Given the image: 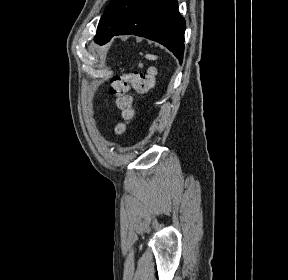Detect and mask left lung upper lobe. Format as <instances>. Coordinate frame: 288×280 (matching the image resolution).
Wrapping results in <instances>:
<instances>
[{
  "label": "left lung upper lobe",
  "instance_id": "5c2ea615",
  "mask_svg": "<svg viewBox=\"0 0 288 280\" xmlns=\"http://www.w3.org/2000/svg\"><path fill=\"white\" fill-rule=\"evenodd\" d=\"M143 0H111L102 15L94 40L103 45L115 34L126 17Z\"/></svg>",
  "mask_w": 288,
  "mask_h": 280
}]
</instances>
